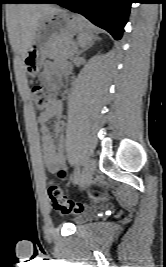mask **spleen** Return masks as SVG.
<instances>
[{"instance_id":"1","label":"spleen","mask_w":166,"mask_h":267,"mask_svg":"<svg viewBox=\"0 0 166 267\" xmlns=\"http://www.w3.org/2000/svg\"><path fill=\"white\" fill-rule=\"evenodd\" d=\"M92 38V26L89 22L83 19L78 31V44L81 47H85L91 43Z\"/></svg>"}]
</instances>
